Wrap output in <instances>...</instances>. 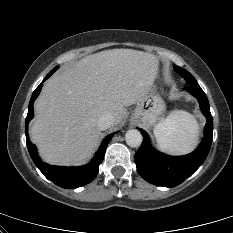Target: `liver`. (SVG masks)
<instances>
[{"label":"liver","mask_w":233,"mask_h":233,"mask_svg":"<svg viewBox=\"0 0 233 233\" xmlns=\"http://www.w3.org/2000/svg\"><path fill=\"white\" fill-rule=\"evenodd\" d=\"M157 74L156 56L132 49L91 54L54 74L35 103L30 130L41 158L52 165L86 163L101 139L100 116L110 112L119 124L126 107L149 93Z\"/></svg>","instance_id":"liver-1"}]
</instances>
